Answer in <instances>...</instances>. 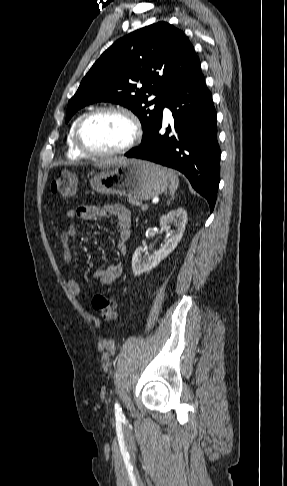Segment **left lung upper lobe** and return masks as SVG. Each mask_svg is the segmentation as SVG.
Instances as JSON below:
<instances>
[{"mask_svg": "<svg viewBox=\"0 0 287 486\" xmlns=\"http://www.w3.org/2000/svg\"><path fill=\"white\" fill-rule=\"evenodd\" d=\"M198 62L189 39L169 23L136 30L118 39L94 63L68 103L66 122L88 104L113 102L138 116L145 136L161 116L168 89Z\"/></svg>", "mask_w": 287, "mask_h": 486, "instance_id": "1", "label": "left lung upper lobe"}]
</instances>
